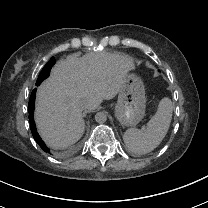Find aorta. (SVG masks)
<instances>
[{
	"instance_id": "aorta-1",
	"label": "aorta",
	"mask_w": 208,
	"mask_h": 208,
	"mask_svg": "<svg viewBox=\"0 0 208 208\" xmlns=\"http://www.w3.org/2000/svg\"><path fill=\"white\" fill-rule=\"evenodd\" d=\"M95 120L97 123L103 124L107 121V115L104 112H99L95 115Z\"/></svg>"
}]
</instances>
